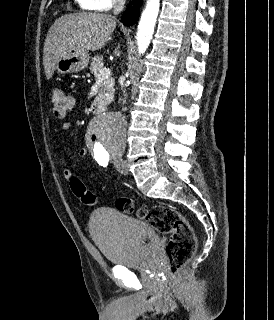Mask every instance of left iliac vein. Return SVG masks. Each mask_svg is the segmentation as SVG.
I'll list each match as a JSON object with an SVG mask.
<instances>
[{
  "label": "left iliac vein",
  "mask_w": 274,
  "mask_h": 320,
  "mask_svg": "<svg viewBox=\"0 0 274 320\" xmlns=\"http://www.w3.org/2000/svg\"><path fill=\"white\" fill-rule=\"evenodd\" d=\"M115 166H116L117 170L119 171V173H121L123 175L128 174L127 164L125 161H122V160L116 161Z\"/></svg>",
  "instance_id": "1"
}]
</instances>
